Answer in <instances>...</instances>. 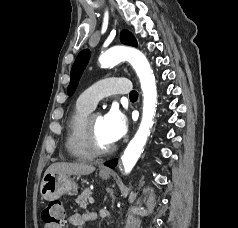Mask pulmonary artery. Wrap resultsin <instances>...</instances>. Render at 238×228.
Returning a JSON list of instances; mask_svg holds the SVG:
<instances>
[{"instance_id":"obj_1","label":"pulmonary artery","mask_w":238,"mask_h":228,"mask_svg":"<svg viewBox=\"0 0 238 228\" xmlns=\"http://www.w3.org/2000/svg\"><path fill=\"white\" fill-rule=\"evenodd\" d=\"M130 89L131 84L129 80L125 78L107 77L87 88L79 96V100L93 109L102 98L114 94H128Z\"/></svg>"}]
</instances>
